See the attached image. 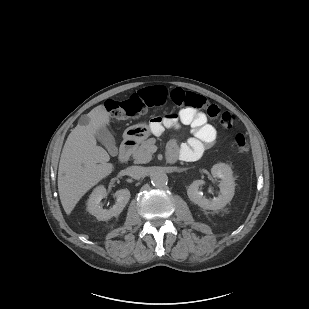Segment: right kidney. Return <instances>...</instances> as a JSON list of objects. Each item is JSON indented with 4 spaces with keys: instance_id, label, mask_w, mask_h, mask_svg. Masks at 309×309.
<instances>
[{
    "instance_id": "1",
    "label": "right kidney",
    "mask_w": 309,
    "mask_h": 309,
    "mask_svg": "<svg viewBox=\"0 0 309 309\" xmlns=\"http://www.w3.org/2000/svg\"><path fill=\"white\" fill-rule=\"evenodd\" d=\"M107 196L104 186H98L94 189L87 202V210L94 215L98 220L105 221L112 217L118 216L130 199V191L128 189H120L115 192L116 203L110 209H103L100 202Z\"/></svg>"
}]
</instances>
